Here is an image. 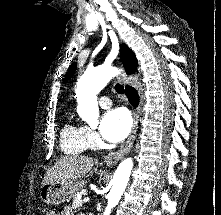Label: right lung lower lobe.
<instances>
[{
    "instance_id": "98d812e1",
    "label": "right lung lower lobe",
    "mask_w": 221,
    "mask_h": 215,
    "mask_svg": "<svg viewBox=\"0 0 221 215\" xmlns=\"http://www.w3.org/2000/svg\"><path fill=\"white\" fill-rule=\"evenodd\" d=\"M126 96L128 97L129 101L132 105L137 106L139 102L138 94L136 90L131 86H126Z\"/></svg>"
}]
</instances>
